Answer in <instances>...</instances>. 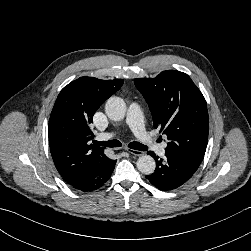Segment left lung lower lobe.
Instances as JSON below:
<instances>
[{
	"label": "left lung lower lobe",
	"instance_id": "obj_1",
	"mask_svg": "<svg viewBox=\"0 0 251 251\" xmlns=\"http://www.w3.org/2000/svg\"><path fill=\"white\" fill-rule=\"evenodd\" d=\"M148 154L155 159L156 170L146 178L160 190L169 191L182 186L199 167L181 156L165 153V159H159L152 151H149Z\"/></svg>",
	"mask_w": 251,
	"mask_h": 251
}]
</instances>
